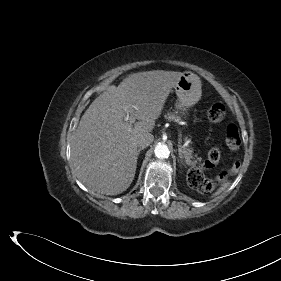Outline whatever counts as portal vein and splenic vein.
Returning <instances> with one entry per match:
<instances>
[{"instance_id":"18ae733b","label":"portal vein and splenic vein","mask_w":281,"mask_h":281,"mask_svg":"<svg viewBox=\"0 0 281 281\" xmlns=\"http://www.w3.org/2000/svg\"><path fill=\"white\" fill-rule=\"evenodd\" d=\"M126 110H127V115H126L125 120L129 121V123L131 125L132 123L135 122V117L131 114L130 107H127ZM180 152L183 153L182 150H180Z\"/></svg>"}]
</instances>
